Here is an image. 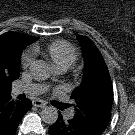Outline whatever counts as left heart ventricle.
<instances>
[{"label": "left heart ventricle", "mask_w": 135, "mask_h": 135, "mask_svg": "<svg viewBox=\"0 0 135 135\" xmlns=\"http://www.w3.org/2000/svg\"><path fill=\"white\" fill-rule=\"evenodd\" d=\"M55 81H56L55 75H54V76H51V77L49 78V80H48V84H49V85H53V84L55 83Z\"/></svg>", "instance_id": "left-heart-ventricle-1"}]
</instances>
